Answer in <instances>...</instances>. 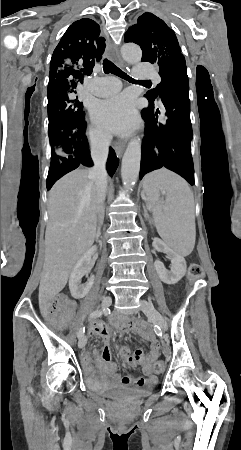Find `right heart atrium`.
I'll return each mask as SVG.
<instances>
[{"label": "right heart atrium", "mask_w": 241, "mask_h": 450, "mask_svg": "<svg viewBox=\"0 0 241 450\" xmlns=\"http://www.w3.org/2000/svg\"><path fill=\"white\" fill-rule=\"evenodd\" d=\"M88 135L93 145V153L95 155H110L109 137L102 131L93 126L88 127Z\"/></svg>", "instance_id": "1"}]
</instances>
